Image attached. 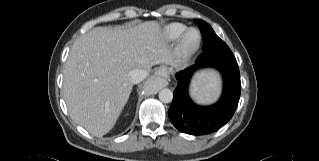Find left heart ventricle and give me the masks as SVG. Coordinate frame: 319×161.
Wrapping results in <instances>:
<instances>
[{
  "instance_id": "1",
  "label": "left heart ventricle",
  "mask_w": 319,
  "mask_h": 161,
  "mask_svg": "<svg viewBox=\"0 0 319 161\" xmlns=\"http://www.w3.org/2000/svg\"><path fill=\"white\" fill-rule=\"evenodd\" d=\"M194 39H195V34H191L190 37H189V40L193 41Z\"/></svg>"
}]
</instances>
